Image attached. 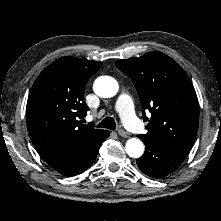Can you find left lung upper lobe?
I'll use <instances>...</instances> for the list:
<instances>
[{
  "instance_id": "obj_1",
  "label": "left lung upper lobe",
  "mask_w": 221,
  "mask_h": 221,
  "mask_svg": "<svg viewBox=\"0 0 221 221\" xmlns=\"http://www.w3.org/2000/svg\"><path fill=\"white\" fill-rule=\"evenodd\" d=\"M133 81L148 132L138 137L190 151L198 130L199 106L186 72L172 58L153 51L115 62ZM145 111L151 113L147 118Z\"/></svg>"
}]
</instances>
